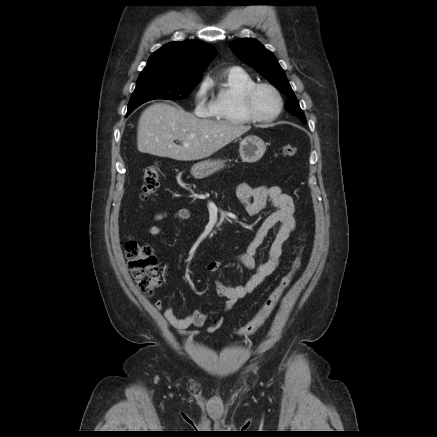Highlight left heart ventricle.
Returning <instances> with one entry per match:
<instances>
[{
    "mask_svg": "<svg viewBox=\"0 0 437 437\" xmlns=\"http://www.w3.org/2000/svg\"><path fill=\"white\" fill-rule=\"evenodd\" d=\"M253 106L258 115L269 117L277 111L278 101L270 89L260 88L254 96Z\"/></svg>",
    "mask_w": 437,
    "mask_h": 437,
    "instance_id": "1",
    "label": "left heart ventricle"
}]
</instances>
